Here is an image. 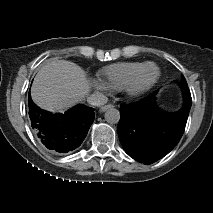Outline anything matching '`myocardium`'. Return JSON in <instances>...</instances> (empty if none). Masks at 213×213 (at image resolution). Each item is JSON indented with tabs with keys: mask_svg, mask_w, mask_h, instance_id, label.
Returning a JSON list of instances; mask_svg holds the SVG:
<instances>
[{
	"mask_svg": "<svg viewBox=\"0 0 213 213\" xmlns=\"http://www.w3.org/2000/svg\"><path fill=\"white\" fill-rule=\"evenodd\" d=\"M148 67H153L155 69L154 77L150 82L144 85H140L139 84L140 77ZM159 77H160L159 68L154 63L147 62L141 68H139L134 73V75L124 84L123 88L121 89L122 93L128 99L139 98L147 91H149L157 83Z\"/></svg>",
	"mask_w": 213,
	"mask_h": 213,
	"instance_id": "f54148a6",
	"label": "myocardium"
}]
</instances>
